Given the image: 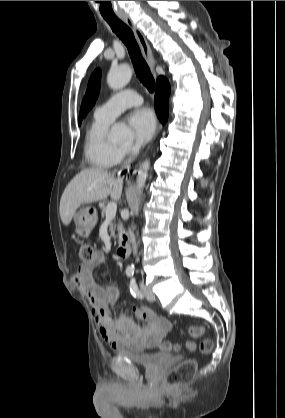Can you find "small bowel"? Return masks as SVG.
I'll return each instance as SVG.
<instances>
[{
	"label": "small bowel",
	"mask_w": 285,
	"mask_h": 418,
	"mask_svg": "<svg viewBox=\"0 0 285 418\" xmlns=\"http://www.w3.org/2000/svg\"><path fill=\"white\" fill-rule=\"evenodd\" d=\"M104 262V255L98 253L93 263L81 264L74 275L75 282L84 290L91 303L100 336L116 350L125 347L134 350L157 347L170 332L171 324L149 307L134 308L138 320L125 312L113 314L109 307L118 302L119 294L107 285L98 284L95 276V269ZM186 346L191 352L196 350L193 341H188Z\"/></svg>",
	"instance_id": "c3829d8e"
}]
</instances>
